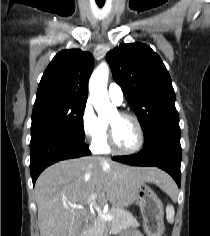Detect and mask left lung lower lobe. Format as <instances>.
Here are the masks:
<instances>
[{
  "instance_id": "obj_1",
  "label": "left lung lower lobe",
  "mask_w": 210,
  "mask_h": 236,
  "mask_svg": "<svg viewBox=\"0 0 210 236\" xmlns=\"http://www.w3.org/2000/svg\"><path fill=\"white\" fill-rule=\"evenodd\" d=\"M113 160L134 166H155L168 172L180 187L181 145L179 123L162 124L145 136L143 149Z\"/></svg>"
}]
</instances>
